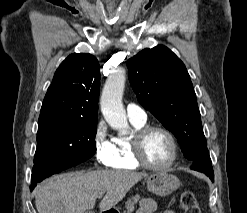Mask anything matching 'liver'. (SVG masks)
<instances>
[{"mask_svg": "<svg viewBox=\"0 0 247 213\" xmlns=\"http://www.w3.org/2000/svg\"><path fill=\"white\" fill-rule=\"evenodd\" d=\"M147 174L121 170L70 172L54 176L36 188L38 213H86L100 193V211L109 210Z\"/></svg>", "mask_w": 247, "mask_h": 213, "instance_id": "1", "label": "liver"}]
</instances>
